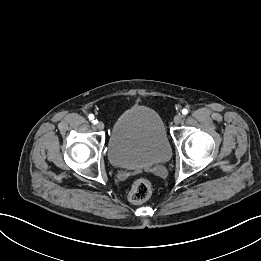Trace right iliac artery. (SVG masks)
Returning <instances> with one entry per match:
<instances>
[{
    "mask_svg": "<svg viewBox=\"0 0 261 261\" xmlns=\"http://www.w3.org/2000/svg\"><path fill=\"white\" fill-rule=\"evenodd\" d=\"M88 118H89V120H91V121L93 122L94 125L97 123V119L94 120V115H93V114H90V115L88 116Z\"/></svg>",
    "mask_w": 261,
    "mask_h": 261,
    "instance_id": "82829eb1",
    "label": "right iliac artery"
}]
</instances>
